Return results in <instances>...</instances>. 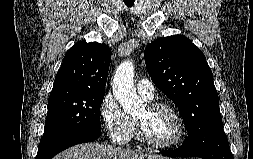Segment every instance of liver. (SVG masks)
Returning <instances> with one entry per match:
<instances>
[{
  "instance_id": "obj_1",
  "label": "liver",
  "mask_w": 253,
  "mask_h": 159,
  "mask_svg": "<svg viewBox=\"0 0 253 159\" xmlns=\"http://www.w3.org/2000/svg\"><path fill=\"white\" fill-rule=\"evenodd\" d=\"M152 157L169 159L159 155L147 154L143 151L123 149L93 142L73 146L53 159H146Z\"/></svg>"
}]
</instances>
